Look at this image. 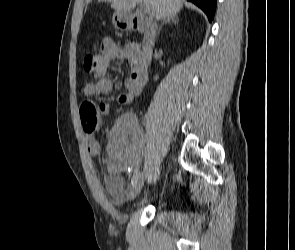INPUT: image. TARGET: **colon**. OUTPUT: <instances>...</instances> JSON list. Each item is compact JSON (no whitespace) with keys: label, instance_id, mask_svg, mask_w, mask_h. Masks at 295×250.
Here are the masks:
<instances>
[{"label":"colon","instance_id":"colon-1","mask_svg":"<svg viewBox=\"0 0 295 250\" xmlns=\"http://www.w3.org/2000/svg\"><path fill=\"white\" fill-rule=\"evenodd\" d=\"M83 68L89 73H95L98 68L97 56L86 54L83 57ZM81 123L86 134H92L100 127L101 119L99 110L90 99H85L80 106Z\"/></svg>","mask_w":295,"mask_h":250}]
</instances>
